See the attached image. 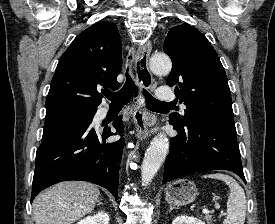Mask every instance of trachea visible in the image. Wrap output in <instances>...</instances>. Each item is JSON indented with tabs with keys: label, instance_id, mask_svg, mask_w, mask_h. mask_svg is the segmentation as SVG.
Listing matches in <instances>:
<instances>
[{
	"label": "trachea",
	"instance_id": "trachea-1",
	"mask_svg": "<svg viewBox=\"0 0 275 224\" xmlns=\"http://www.w3.org/2000/svg\"><path fill=\"white\" fill-rule=\"evenodd\" d=\"M132 57H130L131 59ZM143 96L146 101V105L148 108H155L160 106H168L172 103L162 102L155 99L151 94H149L146 90L142 91ZM136 97L138 95V87L135 85L131 76L126 73V82L124 86L118 92H107L105 96L111 101V105L123 107L129 101H131L132 96Z\"/></svg>",
	"mask_w": 275,
	"mask_h": 224
}]
</instances>
